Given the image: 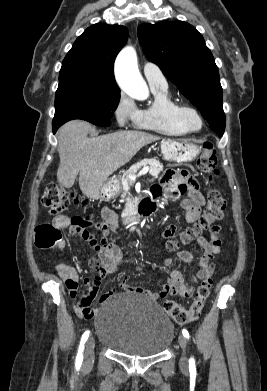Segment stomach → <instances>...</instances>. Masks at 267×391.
<instances>
[{
	"mask_svg": "<svg viewBox=\"0 0 267 391\" xmlns=\"http://www.w3.org/2000/svg\"><path fill=\"white\" fill-rule=\"evenodd\" d=\"M199 147L191 142L165 141L161 144L163 159L177 163L190 162L199 154ZM119 178L106 181L99 190V199L108 200L120 193Z\"/></svg>",
	"mask_w": 267,
	"mask_h": 391,
	"instance_id": "0dacf381",
	"label": "stomach"
}]
</instances>
